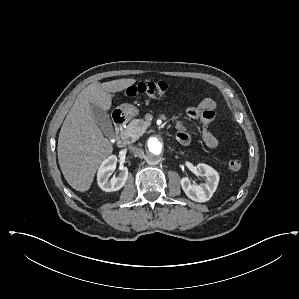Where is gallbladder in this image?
Wrapping results in <instances>:
<instances>
[{
    "instance_id": "gallbladder-1",
    "label": "gallbladder",
    "mask_w": 299,
    "mask_h": 299,
    "mask_svg": "<svg viewBox=\"0 0 299 299\" xmlns=\"http://www.w3.org/2000/svg\"><path fill=\"white\" fill-rule=\"evenodd\" d=\"M96 123L104 132L112 131V123L109 114L96 105H91Z\"/></svg>"
}]
</instances>
